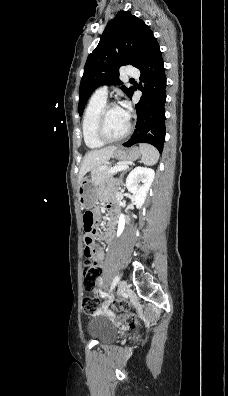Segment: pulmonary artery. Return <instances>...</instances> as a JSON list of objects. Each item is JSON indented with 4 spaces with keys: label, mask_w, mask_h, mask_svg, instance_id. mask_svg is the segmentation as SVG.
I'll list each match as a JSON object with an SVG mask.
<instances>
[{
    "label": "pulmonary artery",
    "mask_w": 228,
    "mask_h": 396,
    "mask_svg": "<svg viewBox=\"0 0 228 396\" xmlns=\"http://www.w3.org/2000/svg\"><path fill=\"white\" fill-rule=\"evenodd\" d=\"M126 75L129 76V77H132V78H136V77H139L140 72H139V70L137 68H129L126 71ZM94 95L97 96V97L106 99L107 95H108V87L107 86H101V87L97 88L95 90V92H94Z\"/></svg>",
    "instance_id": "1"
}]
</instances>
